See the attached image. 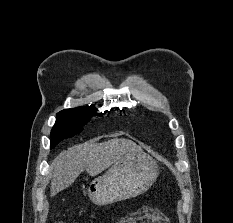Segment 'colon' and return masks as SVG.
<instances>
[{
	"instance_id": "colon-1",
	"label": "colon",
	"mask_w": 233,
	"mask_h": 223,
	"mask_svg": "<svg viewBox=\"0 0 233 223\" xmlns=\"http://www.w3.org/2000/svg\"><path fill=\"white\" fill-rule=\"evenodd\" d=\"M142 214L133 215L120 221V223H170L167 217L154 209H145Z\"/></svg>"
}]
</instances>
